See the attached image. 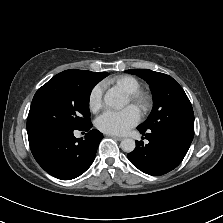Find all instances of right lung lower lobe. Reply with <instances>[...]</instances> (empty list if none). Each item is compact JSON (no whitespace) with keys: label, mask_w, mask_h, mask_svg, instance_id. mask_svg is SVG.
Wrapping results in <instances>:
<instances>
[{"label":"right lung lower lobe","mask_w":223,"mask_h":223,"mask_svg":"<svg viewBox=\"0 0 223 223\" xmlns=\"http://www.w3.org/2000/svg\"><path fill=\"white\" fill-rule=\"evenodd\" d=\"M92 124L78 129H61L29 137L32 154L38 164L50 175L70 180L83 174L92 164L103 134ZM75 130L87 132L85 138H76Z\"/></svg>","instance_id":"1"}]
</instances>
